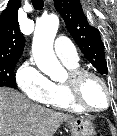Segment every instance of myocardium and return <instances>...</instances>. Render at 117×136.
<instances>
[{
	"label": "myocardium",
	"instance_id": "myocardium-1",
	"mask_svg": "<svg viewBox=\"0 0 117 136\" xmlns=\"http://www.w3.org/2000/svg\"><path fill=\"white\" fill-rule=\"evenodd\" d=\"M92 77L100 82L107 94V104L102 109H93L87 106L81 97V87L83 81ZM67 91L68 97L71 102L78 107L80 110L89 113H101L109 109L113 102V93L111 92L106 81L97 73L85 69H75L69 72L68 78L63 83Z\"/></svg>",
	"mask_w": 117,
	"mask_h": 136
}]
</instances>
